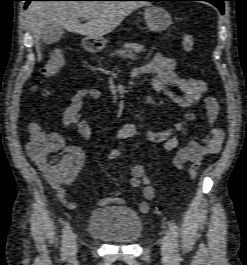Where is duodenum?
Wrapping results in <instances>:
<instances>
[{
  "mask_svg": "<svg viewBox=\"0 0 247 265\" xmlns=\"http://www.w3.org/2000/svg\"><path fill=\"white\" fill-rule=\"evenodd\" d=\"M85 49H86L87 51H89V52H93V51L96 50V47H95L94 43L87 42V43L85 44Z\"/></svg>",
  "mask_w": 247,
  "mask_h": 265,
  "instance_id": "410a0bca",
  "label": "duodenum"
}]
</instances>
